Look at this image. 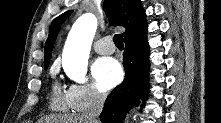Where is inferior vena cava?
I'll return each mask as SVG.
<instances>
[{"label": "inferior vena cava", "mask_w": 221, "mask_h": 123, "mask_svg": "<svg viewBox=\"0 0 221 123\" xmlns=\"http://www.w3.org/2000/svg\"><path fill=\"white\" fill-rule=\"evenodd\" d=\"M106 94L94 91L90 110L85 114L91 123H99V116L103 110Z\"/></svg>", "instance_id": "obj_1"}]
</instances>
